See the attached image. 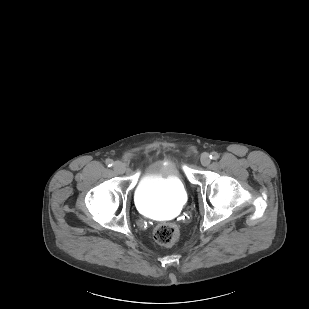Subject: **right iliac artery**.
Returning a JSON list of instances; mask_svg holds the SVG:
<instances>
[{
    "mask_svg": "<svg viewBox=\"0 0 309 309\" xmlns=\"http://www.w3.org/2000/svg\"><path fill=\"white\" fill-rule=\"evenodd\" d=\"M113 164H114L113 160H111V159H107V160H106V165H107L108 167L113 166Z\"/></svg>",
    "mask_w": 309,
    "mask_h": 309,
    "instance_id": "right-iliac-artery-1",
    "label": "right iliac artery"
}]
</instances>
